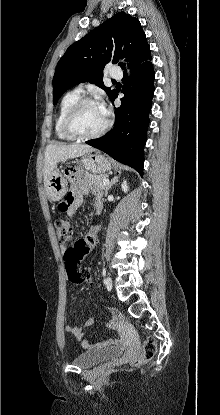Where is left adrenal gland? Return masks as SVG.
Returning <instances> with one entry per match:
<instances>
[{"label": "left adrenal gland", "mask_w": 220, "mask_h": 415, "mask_svg": "<svg viewBox=\"0 0 220 415\" xmlns=\"http://www.w3.org/2000/svg\"><path fill=\"white\" fill-rule=\"evenodd\" d=\"M118 176H114L112 179H111V181H110V183H109V185H108V187H107V189H106V192H105V194L107 195V193H108V190L109 189H111V187L116 183V182H118Z\"/></svg>", "instance_id": "1"}]
</instances>
